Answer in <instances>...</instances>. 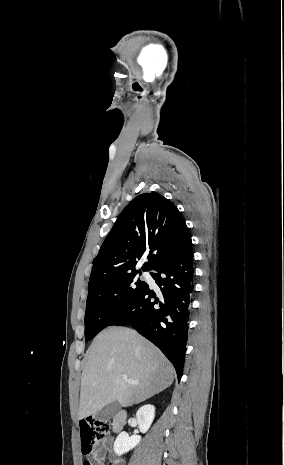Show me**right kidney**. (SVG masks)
<instances>
[{
    "label": "right kidney",
    "mask_w": 284,
    "mask_h": 465,
    "mask_svg": "<svg viewBox=\"0 0 284 465\" xmlns=\"http://www.w3.org/2000/svg\"><path fill=\"white\" fill-rule=\"evenodd\" d=\"M154 413L155 409L153 405H144V407H140V409H138L136 419L140 433H147L148 429H150L153 423ZM140 441V435H132V437H129L128 433L123 431V433L118 435L113 445L114 453H116V455H124V453H128V451L134 449L136 445H139Z\"/></svg>",
    "instance_id": "obj_1"
}]
</instances>
